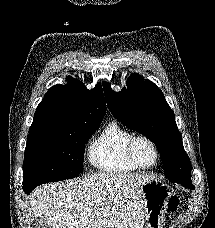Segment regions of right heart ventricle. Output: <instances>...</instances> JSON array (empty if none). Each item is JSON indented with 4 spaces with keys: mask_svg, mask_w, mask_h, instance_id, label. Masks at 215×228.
I'll return each mask as SVG.
<instances>
[{
    "mask_svg": "<svg viewBox=\"0 0 215 228\" xmlns=\"http://www.w3.org/2000/svg\"><path fill=\"white\" fill-rule=\"evenodd\" d=\"M135 134L116 121L109 122L91 141L88 160L97 170L110 174L136 171L126 158V145Z\"/></svg>",
    "mask_w": 215,
    "mask_h": 228,
    "instance_id": "e07e8e85",
    "label": "right heart ventricle"
}]
</instances>
